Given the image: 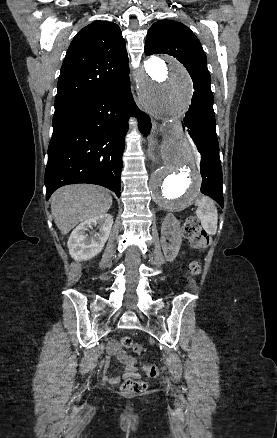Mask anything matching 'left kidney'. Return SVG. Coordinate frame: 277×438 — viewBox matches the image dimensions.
Here are the masks:
<instances>
[{"instance_id":"1","label":"left kidney","mask_w":277,"mask_h":438,"mask_svg":"<svg viewBox=\"0 0 277 438\" xmlns=\"http://www.w3.org/2000/svg\"><path fill=\"white\" fill-rule=\"evenodd\" d=\"M166 240H170L171 244H167ZM181 242L179 220H176L173 214H166L161 226V246L167 262L175 260L180 250Z\"/></svg>"}]
</instances>
